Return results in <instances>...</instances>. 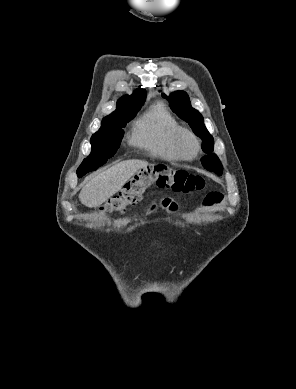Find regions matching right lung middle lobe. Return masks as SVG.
<instances>
[{
    "mask_svg": "<svg viewBox=\"0 0 296 389\" xmlns=\"http://www.w3.org/2000/svg\"><path fill=\"white\" fill-rule=\"evenodd\" d=\"M141 107L129 110L114 117L104 118L99 131L91 137L92 151L84 159L80 167L103 165L107 159L112 157L120 146L125 124L136 116Z\"/></svg>",
    "mask_w": 296,
    "mask_h": 389,
    "instance_id": "obj_1",
    "label": "right lung middle lobe"
}]
</instances>
